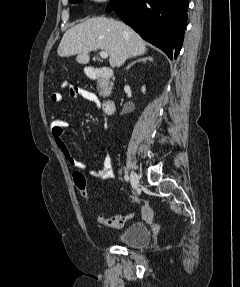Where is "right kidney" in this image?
<instances>
[{
    "label": "right kidney",
    "mask_w": 240,
    "mask_h": 287,
    "mask_svg": "<svg viewBox=\"0 0 240 287\" xmlns=\"http://www.w3.org/2000/svg\"><path fill=\"white\" fill-rule=\"evenodd\" d=\"M145 90H146V89H145V87L143 86L142 89H141V91H142L143 93H145Z\"/></svg>",
    "instance_id": "1"
}]
</instances>
